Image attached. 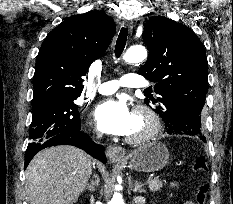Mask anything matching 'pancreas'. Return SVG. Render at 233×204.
I'll list each match as a JSON object with an SVG mask.
<instances>
[{
    "instance_id": "obj_1",
    "label": "pancreas",
    "mask_w": 233,
    "mask_h": 204,
    "mask_svg": "<svg viewBox=\"0 0 233 204\" xmlns=\"http://www.w3.org/2000/svg\"><path fill=\"white\" fill-rule=\"evenodd\" d=\"M147 183L149 185L148 187L151 192L160 191V189L163 187V183L159 179L158 180L150 179L148 180Z\"/></svg>"
}]
</instances>
